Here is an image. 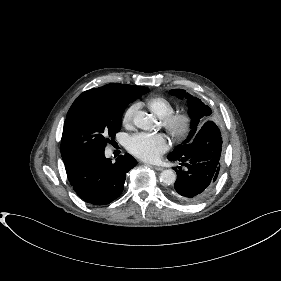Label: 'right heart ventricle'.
<instances>
[{"mask_svg": "<svg viewBox=\"0 0 281 281\" xmlns=\"http://www.w3.org/2000/svg\"><path fill=\"white\" fill-rule=\"evenodd\" d=\"M146 106L159 118H163L174 111L173 103L163 96H153L146 100Z\"/></svg>", "mask_w": 281, "mask_h": 281, "instance_id": "e07e8e85", "label": "right heart ventricle"}]
</instances>
